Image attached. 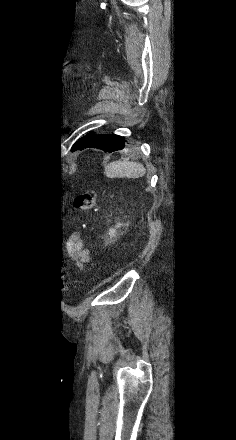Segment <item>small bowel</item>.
<instances>
[{
  "mask_svg": "<svg viewBox=\"0 0 236 440\" xmlns=\"http://www.w3.org/2000/svg\"><path fill=\"white\" fill-rule=\"evenodd\" d=\"M69 253L75 259L74 265L78 269H82L91 260L90 251L83 247L79 232L71 235Z\"/></svg>",
  "mask_w": 236,
  "mask_h": 440,
  "instance_id": "small-bowel-1",
  "label": "small bowel"
}]
</instances>
